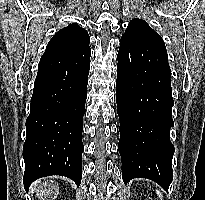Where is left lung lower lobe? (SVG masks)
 I'll list each match as a JSON object with an SVG mask.
<instances>
[{
    "instance_id": "1",
    "label": "left lung lower lobe",
    "mask_w": 205,
    "mask_h": 200,
    "mask_svg": "<svg viewBox=\"0 0 205 200\" xmlns=\"http://www.w3.org/2000/svg\"><path fill=\"white\" fill-rule=\"evenodd\" d=\"M116 102L122 178H148L166 191L173 179L171 70L164 42L120 41Z\"/></svg>"
}]
</instances>
